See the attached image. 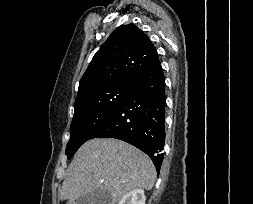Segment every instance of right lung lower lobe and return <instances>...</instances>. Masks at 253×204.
<instances>
[{"label": "right lung lower lobe", "mask_w": 253, "mask_h": 204, "mask_svg": "<svg viewBox=\"0 0 253 204\" xmlns=\"http://www.w3.org/2000/svg\"><path fill=\"white\" fill-rule=\"evenodd\" d=\"M165 78L159 58L138 77L93 138L110 137L128 142L152 159L159 172L165 142Z\"/></svg>", "instance_id": "98d812e1"}]
</instances>
